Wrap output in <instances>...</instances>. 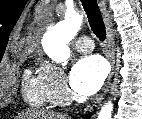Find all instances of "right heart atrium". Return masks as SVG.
I'll use <instances>...</instances> for the list:
<instances>
[{
    "instance_id": "d8ad5b80",
    "label": "right heart atrium",
    "mask_w": 142,
    "mask_h": 119,
    "mask_svg": "<svg viewBox=\"0 0 142 119\" xmlns=\"http://www.w3.org/2000/svg\"><path fill=\"white\" fill-rule=\"evenodd\" d=\"M40 74L49 87L51 102L57 105L64 104L70 97L64 73L54 64L45 62Z\"/></svg>"
}]
</instances>
